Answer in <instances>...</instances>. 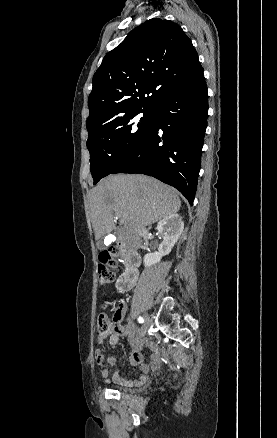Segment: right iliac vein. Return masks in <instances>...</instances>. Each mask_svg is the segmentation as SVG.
Returning <instances> with one entry per match:
<instances>
[{
  "label": "right iliac vein",
  "instance_id": "63e3f726",
  "mask_svg": "<svg viewBox=\"0 0 277 438\" xmlns=\"http://www.w3.org/2000/svg\"><path fill=\"white\" fill-rule=\"evenodd\" d=\"M150 324H151V319H150L148 314H145L144 315V322H143V325H142V328H141V332H140V335H139L138 339H141L142 337L145 336V334H146Z\"/></svg>",
  "mask_w": 277,
  "mask_h": 438
}]
</instances>
